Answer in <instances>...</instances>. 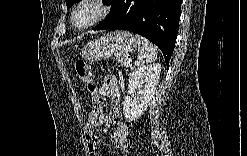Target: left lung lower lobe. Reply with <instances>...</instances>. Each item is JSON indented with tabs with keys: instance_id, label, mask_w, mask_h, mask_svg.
Listing matches in <instances>:
<instances>
[{
	"instance_id": "left-lung-lower-lobe-1",
	"label": "left lung lower lobe",
	"mask_w": 247,
	"mask_h": 156,
	"mask_svg": "<svg viewBox=\"0 0 247 156\" xmlns=\"http://www.w3.org/2000/svg\"><path fill=\"white\" fill-rule=\"evenodd\" d=\"M181 0H118L94 30L124 29L157 45L169 64L181 15Z\"/></svg>"
}]
</instances>
